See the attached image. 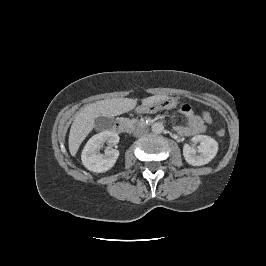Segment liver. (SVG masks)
I'll return each instance as SVG.
<instances>
[{
    "instance_id": "liver-1",
    "label": "liver",
    "mask_w": 266,
    "mask_h": 266,
    "mask_svg": "<svg viewBox=\"0 0 266 266\" xmlns=\"http://www.w3.org/2000/svg\"><path fill=\"white\" fill-rule=\"evenodd\" d=\"M165 95H155L142 100L143 105L152 104L166 99ZM137 101L130 98H114L86 105L75 116L69 133V151L75 156L81 143L95 126L99 116L114 117L136 107Z\"/></svg>"
}]
</instances>
